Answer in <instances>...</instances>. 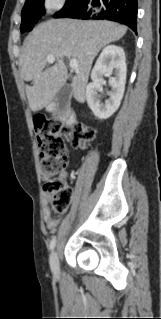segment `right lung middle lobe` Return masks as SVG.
Segmentation results:
<instances>
[{"label": "right lung middle lobe", "mask_w": 161, "mask_h": 319, "mask_svg": "<svg viewBox=\"0 0 161 319\" xmlns=\"http://www.w3.org/2000/svg\"><path fill=\"white\" fill-rule=\"evenodd\" d=\"M80 0H66L65 6L57 12L54 17H62L71 8L76 5ZM44 0H26L25 5L21 12L22 23L20 30L22 33L31 31L33 26L44 14Z\"/></svg>", "instance_id": "1"}]
</instances>
